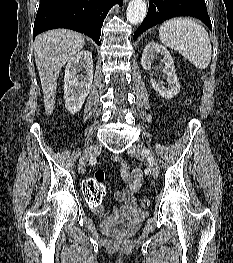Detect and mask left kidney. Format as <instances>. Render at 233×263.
I'll return each instance as SVG.
<instances>
[{
    "mask_svg": "<svg viewBox=\"0 0 233 263\" xmlns=\"http://www.w3.org/2000/svg\"><path fill=\"white\" fill-rule=\"evenodd\" d=\"M162 55L164 57V66H160L156 69H161L164 76H167L168 87L164 86V83L153 79V73H151V85L154 90L165 99H172L180 91V83L178 82L177 75L175 74L174 61L166 49V47L159 45L158 43L152 41L148 43L143 51L141 64L142 67L150 71L152 70V61L157 55Z\"/></svg>",
    "mask_w": 233,
    "mask_h": 263,
    "instance_id": "left-kidney-1",
    "label": "left kidney"
}]
</instances>
